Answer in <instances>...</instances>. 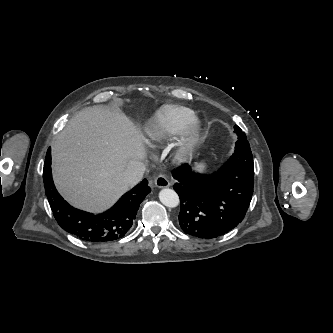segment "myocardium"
<instances>
[{
	"instance_id": "obj_1",
	"label": "myocardium",
	"mask_w": 333,
	"mask_h": 333,
	"mask_svg": "<svg viewBox=\"0 0 333 333\" xmlns=\"http://www.w3.org/2000/svg\"><path fill=\"white\" fill-rule=\"evenodd\" d=\"M201 135V122L194 118L180 133L177 143L176 158L179 161L185 160L199 142Z\"/></svg>"
}]
</instances>
